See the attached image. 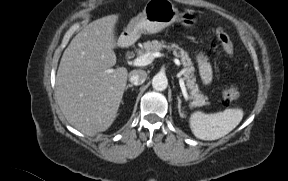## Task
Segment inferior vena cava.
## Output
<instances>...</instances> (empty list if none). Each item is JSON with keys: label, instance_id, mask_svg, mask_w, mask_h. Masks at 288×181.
<instances>
[{"label": "inferior vena cava", "instance_id": "1", "mask_svg": "<svg viewBox=\"0 0 288 181\" xmlns=\"http://www.w3.org/2000/svg\"><path fill=\"white\" fill-rule=\"evenodd\" d=\"M147 73L144 70H133L129 73V81L134 85H141L145 82Z\"/></svg>", "mask_w": 288, "mask_h": 181}]
</instances>
